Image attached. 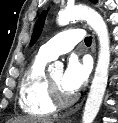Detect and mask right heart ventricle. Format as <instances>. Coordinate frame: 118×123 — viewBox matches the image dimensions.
<instances>
[{"mask_svg":"<svg viewBox=\"0 0 118 123\" xmlns=\"http://www.w3.org/2000/svg\"><path fill=\"white\" fill-rule=\"evenodd\" d=\"M49 59L38 54L24 72L19 85V106L27 114L46 117L54 113L45 66Z\"/></svg>","mask_w":118,"mask_h":123,"instance_id":"1","label":"right heart ventricle"}]
</instances>
